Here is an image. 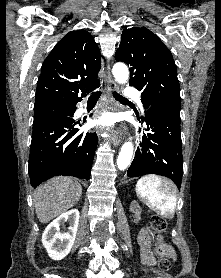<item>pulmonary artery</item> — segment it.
<instances>
[{"mask_svg":"<svg viewBox=\"0 0 221 278\" xmlns=\"http://www.w3.org/2000/svg\"><path fill=\"white\" fill-rule=\"evenodd\" d=\"M125 96L128 98H132L138 101V103L141 105V101H140V92L134 88V87H128L125 90Z\"/></svg>","mask_w":221,"mask_h":278,"instance_id":"1","label":"pulmonary artery"}]
</instances>
